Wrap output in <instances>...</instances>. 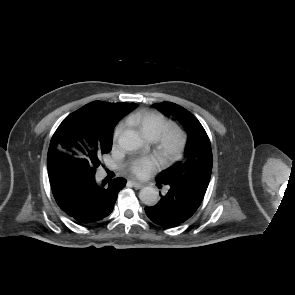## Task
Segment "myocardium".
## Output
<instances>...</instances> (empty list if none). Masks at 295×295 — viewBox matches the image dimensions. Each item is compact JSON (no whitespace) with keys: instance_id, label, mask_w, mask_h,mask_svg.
Here are the masks:
<instances>
[{"instance_id":"obj_1","label":"myocardium","mask_w":295,"mask_h":295,"mask_svg":"<svg viewBox=\"0 0 295 295\" xmlns=\"http://www.w3.org/2000/svg\"><path fill=\"white\" fill-rule=\"evenodd\" d=\"M187 144L186 132L177 124L169 123L155 139V149L165 164L179 160Z\"/></svg>"}]
</instances>
